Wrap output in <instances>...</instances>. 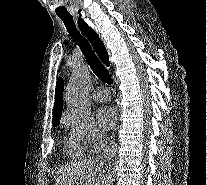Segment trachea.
<instances>
[{"label": "trachea", "instance_id": "trachea-1", "mask_svg": "<svg viewBox=\"0 0 207 185\" xmlns=\"http://www.w3.org/2000/svg\"><path fill=\"white\" fill-rule=\"evenodd\" d=\"M60 18L64 22L69 35L73 38L74 42L77 43V45L81 48L95 75H97V77L102 80V82L111 85L113 83L111 76L107 68H105L103 65V63L107 65V50L103 42L99 39L97 33L85 22L83 24V29L81 30L82 33H80L79 30L76 28L73 19L61 16ZM89 42H96V44L93 45V48L98 54L99 58L95 55Z\"/></svg>", "mask_w": 207, "mask_h": 185}]
</instances>
